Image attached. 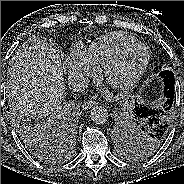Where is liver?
<instances>
[{"label": "liver", "instance_id": "obj_1", "mask_svg": "<svg viewBox=\"0 0 184 184\" xmlns=\"http://www.w3.org/2000/svg\"><path fill=\"white\" fill-rule=\"evenodd\" d=\"M6 94L14 107L44 117L60 109L65 84L57 50L38 37L22 45L10 61Z\"/></svg>", "mask_w": 184, "mask_h": 184}]
</instances>
